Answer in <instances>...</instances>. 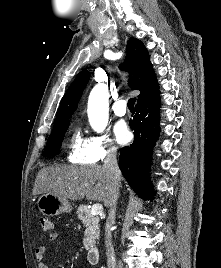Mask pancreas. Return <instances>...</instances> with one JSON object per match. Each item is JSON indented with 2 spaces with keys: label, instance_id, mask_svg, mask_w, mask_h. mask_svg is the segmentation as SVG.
<instances>
[{
  "label": "pancreas",
  "instance_id": "pancreas-1",
  "mask_svg": "<svg viewBox=\"0 0 221 268\" xmlns=\"http://www.w3.org/2000/svg\"><path fill=\"white\" fill-rule=\"evenodd\" d=\"M77 216L86 228L83 245L86 250H89L94 247L96 241L99 239V217L90 215V209L87 205H80L78 207Z\"/></svg>",
  "mask_w": 221,
  "mask_h": 268
}]
</instances>
